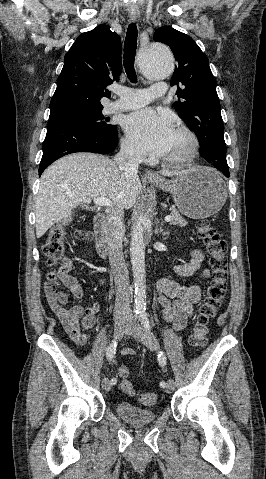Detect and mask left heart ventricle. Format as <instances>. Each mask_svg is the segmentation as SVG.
Instances as JSON below:
<instances>
[{
    "mask_svg": "<svg viewBox=\"0 0 266 479\" xmlns=\"http://www.w3.org/2000/svg\"><path fill=\"white\" fill-rule=\"evenodd\" d=\"M186 143V138L175 132L172 145L165 157H171L172 155L176 154L186 145Z\"/></svg>",
    "mask_w": 266,
    "mask_h": 479,
    "instance_id": "left-heart-ventricle-1",
    "label": "left heart ventricle"
}]
</instances>
